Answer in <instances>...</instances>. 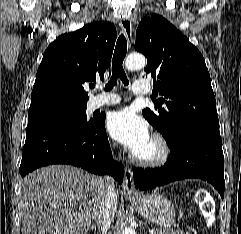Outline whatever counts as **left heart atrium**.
Returning <instances> with one entry per match:
<instances>
[{
	"mask_svg": "<svg viewBox=\"0 0 241 234\" xmlns=\"http://www.w3.org/2000/svg\"><path fill=\"white\" fill-rule=\"evenodd\" d=\"M107 130L112 138L133 154L139 153L150 140L147 122L131 109L111 113L107 120Z\"/></svg>",
	"mask_w": 241,
	"mask_h": 234,
	"instance_id": "39dd6f15",
	"label": "left heart atrium"
}]
</instances>
